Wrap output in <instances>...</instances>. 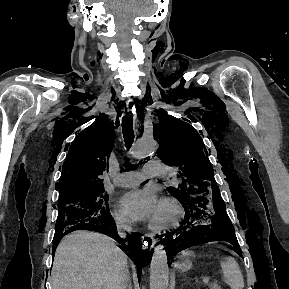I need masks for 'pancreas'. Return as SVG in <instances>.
Returning <instances> with one entry per match:
<instances>
[{
  "label": "pancreas",
  "mask_w": 289,
  "mask_h": 289,
  "mask_svg": "<svg viewBox=\"0 0 289 289\" xmlns=\"http://www.w3.org/2000/svg\"><path fill=\"white\" fill-rule=\"evenodd\" d=\"M209 289H222L217 283H212L209 285Z\"/></svg>",
  "instance_id": "obj_1"
}]
</instances>
